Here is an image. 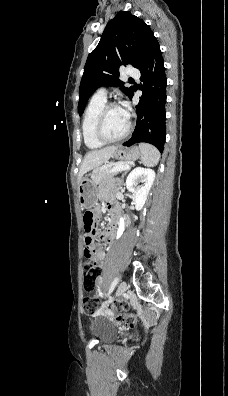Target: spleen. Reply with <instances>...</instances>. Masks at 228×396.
Returning a JSON list of instances; mask_svg holds the SVG:
<instances>
[{
    "instance_id": "1",
    "label": "spleen",
    "mask_w": 228,
    "mask_h": 396,
    "mask_svg": "<svg viewBox=\"0 0 228 396\" xmlns=\"http://www.w3.org/2000/svg\"><path fill=\"white\" fill-rule=\"evenodd\" d=\"M141 161L145 166L153 167L158 164L160 159L159 151L151 144L140 143Z\"/></svg>"
}]
</instances>
